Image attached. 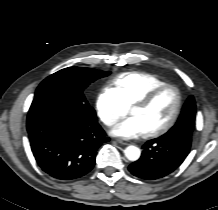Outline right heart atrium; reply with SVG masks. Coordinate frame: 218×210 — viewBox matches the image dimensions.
I'll return each mask as SVG.
<instances>
[{
	"label": "right heart atrium",
	"instance_id": "1",
	"mask_svg": "<svg viewBox=\"0 0 218 210\" xmlns=\"http://www.w3.org/2000/svg\"><path fill=\"white\" fill-rule=\"evenodd\" d=\"M95 109L98 117L107 126H114L129 111L119 94L111 87L102 88L95 99Z\"/></svg>",
	"mask_w": 218,
	"mask_h": 210
}]
</instances>
